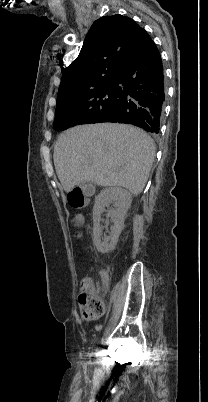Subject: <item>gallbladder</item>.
<instances>
[{"label":"gallbladder","mask_w":208,"mask_h":402,"mask_svg":"<svg viewBox=\"0 0 208 402\" xmlns=\"http://www.w3.org/2000/svg\"><path fill=\"white\" fill-rule=\"evenodd\" d=\"M97 189L96 181H87L85 186H83L84 195H95Z\"/></svg>","instance_id":"1"}]
</instances>
